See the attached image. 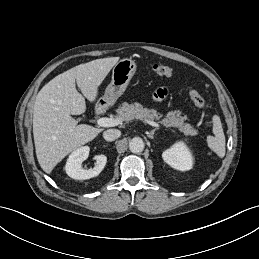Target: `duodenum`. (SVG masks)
Here are the masks:
<instances>
[{
  "instance_id": "duodenum-1",
  "label": "duodenum",
  "mask_w": 259,
  "mask_h": 259,
  "mask_svg": "<svg viewBox=\"0 0 259 259\" xmlns=\"http://www.w3.org/2000/svg\"><path fill=\"white\" fill-rule=\"evenodd\" d=\"M102 110H103V108H102V107H98V108L96 109V113H97V114H99V113H101V112H102Z\"/></svg>"
}]
</instances>
